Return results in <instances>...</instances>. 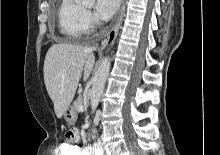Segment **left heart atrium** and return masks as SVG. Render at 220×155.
I'll return each instance as SVG.
<instances>
[{"label": "left heart atrium", "instance_id": "left-heart-atrium-1", "mask_svg": "<svg viewBox=\"0 0 220 155\" xmlns=\"http://www.w3.org/2000/svg\"><path fill=\"white\" fill-rule=\"evenodd\" d=\"M121 0H97L96 10L104 18H109L116 13Z\"/></svg>", "mask_w": 220, "mask_h": 155}]
</instances>
